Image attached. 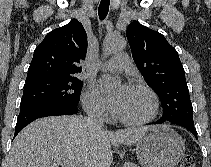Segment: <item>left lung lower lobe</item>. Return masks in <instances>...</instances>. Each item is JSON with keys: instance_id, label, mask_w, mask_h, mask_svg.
I'll return each mask as SVG.
<instances>
[{"instance_id": "1", "label": "left lung lower lobe", "mask_w": 211, "mask_h": 167, "mask_svg": "<svg viewBox=\"0 0 211 167\" xmlns=\"http://www.w3.org/2000/svg\"><path fill=\"white\" fill-rule=\"evenodd\" d=\"M162 122L163 121L160 120V121H157V122H153L151 124H159V123H162ZM173 124H176V125H179V126L186 128L197 138V132H196V129L194 128V125L186 124V123H173Z\"/></svg>"}]
</instances>
